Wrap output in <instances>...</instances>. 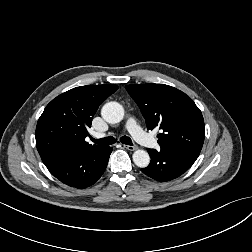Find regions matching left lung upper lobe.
<instances>
[{
  "mask_svg": "<svg viewBox=\"0 0 252 252\" xmlns=\"http://www.w3.org/2000/svg\"><path fill=\"white\" fill-rule=\"evenodd\" d=\"M125 88L139 106L147 128L161 129L157 135L161 148L200 153L205 125L201 111L189 96L165 84H137Z\"/></svg>",
  "mask_w": 252,
  "mask_h": 252,
  "instance_id": "1",
  "label": "left lung upper lobe"
}]
</instances>
